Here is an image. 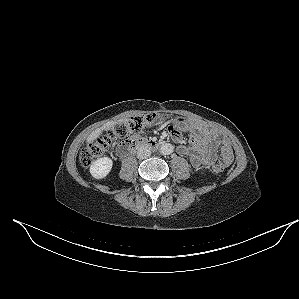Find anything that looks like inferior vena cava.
<instances>
[{"label":"inferior vena cava","mask_w":299,"mask_h":299,"mask_svg":"<svg viewBox=\"0 0 299 299\" xmlns=\"http://www.w3.org/2000/svg\"><path fill=\"white\" fill-rule=\"evenodd\" d=\"M151 156V149L148 145H142L137 150L138 159H146Z\"/></svg>","instance_id":"602c4592"}]
</instances>
